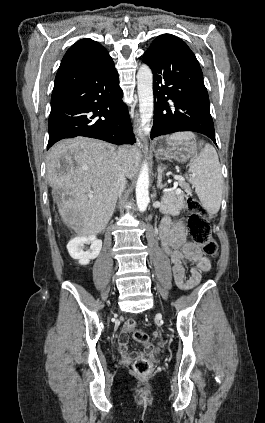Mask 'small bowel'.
Instances as JSON below:
<instances>
[{"mask_svg": "<svg viewBox=\"0 0 265 423\" xmlns=\"http://www.w3.org/2000/svg\"><path fill=\"white\" fill-rule=\"evenodd\" d=\"M158 234L162 247L172 263V271L176 285L189 290L197 286L202 278V273L211 268V263L192 242L187 241V234L183 224L175 223L169 217L162 220ZM193 262L195 266L191 269L190 276L185 277L184 265ZM121 355L129 360L134 355L130 353L128 347V335L122 331L118 339Z\"/></svg>", "mask_w": 265, "mask_h": 423, "instance_id": "c3829d8e", "label": "small bowel"}]
</instances>
